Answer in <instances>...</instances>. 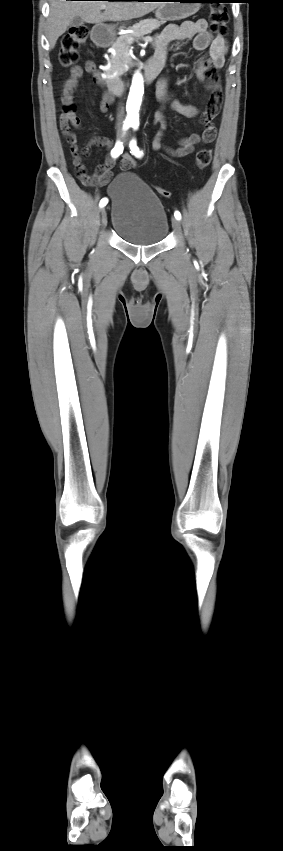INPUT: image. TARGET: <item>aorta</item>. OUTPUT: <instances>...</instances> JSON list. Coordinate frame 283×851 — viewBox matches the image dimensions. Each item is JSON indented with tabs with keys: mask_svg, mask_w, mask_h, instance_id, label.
Here are the masks:
<instances>
[{
	"mask_svg": "<svg viewBox=\"0 0 283 851\" xmlns=\"http://www.w3.org/2000/svg\"><path fill=\"white\" fill-rule=\"evenodd\" d=\"M144 94V81L142 74L136 72L132 79L128 100H127V119L131 122H138L139 108Z\"/></svg>",
	"mask_w": 283,
	"mask_h": 851,
	"instance_id": "1",
	"label": "aorta"
}]
</instances>
